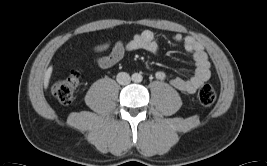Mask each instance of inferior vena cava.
Instances as JSON below:
<instances>
[{
  "instance_id": "602c4592",
  "label": "inferior vena cava",
  "mask_w": 267,
  "mask_h": 166,
  "mask_svg": "<svg viewBox=\"0 0 267 166\" xmlns=\"http://www.w3.org/2000/svg\"><path fill=\"white\" fill-rule=\"evenodd\" d=\"M116 80L121 85H127L130 83L131 78H130L128 73L120 72V73H118Z\"/></svg>"
}]
</instances>
